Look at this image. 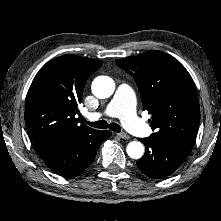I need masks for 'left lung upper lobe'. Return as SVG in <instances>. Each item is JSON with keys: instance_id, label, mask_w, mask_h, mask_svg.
Segmentation results:
<instances>
[{"instance_id": "5c2ea615", "label": "left lung upper lobe", "mask_w": 221, "mask_h": 221, "mask_svg": "<svg viewBox=\"0 0 221 221\" xmlns=\"http://www.w3.org/2000/svg\"><path fill=\"white\" fill-rule=\"evenodd\" d=\"M132 75L144 110L151 115L153 137L169 138L193 147L200 121L195 84L184 66L161 51H147L116 60Z\"/></svg>"}]
</instances>
